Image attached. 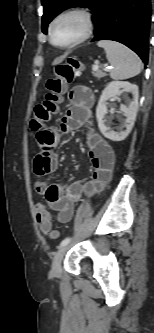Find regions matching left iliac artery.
I'll return each mask as SVG.
<instances>
[{
  "instance_id": "1",
  "label": "left iliac artery",
  "mask_w": 154,
  "mask_h": 333,
  "mask_svg": "<svg viewBox=\"0 0 154 333\" xmlns=\"http://www.w3.org/2000/svg\"><path fill=\"white\" fill-rule=\"evenodd\" d=\"M70 241H71V238L67 237L64 240H62L60 246H64V245L68 244Z\"/></svg>"
}]
</instances>
